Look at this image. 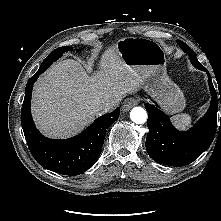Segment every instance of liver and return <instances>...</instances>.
I'll return each instance as SVG.
<instances>
[{
  "label": "liver",
  "mask_w": 221,
  "mask_h": 221,
  "mask_svg": "<svg viewBox=\"0 0 221 221\" xmlns=\"http://www.w3.org/2000/svg\"><path fill=\"white\" fill-rule=\"evenodd\" d=\"M140 88L138 73L124 63L115 45L103 53L92 76L72 59L57 63L42 75L34 86L32 115L46 136L66 138L104 113L99 106L102 100L121 99Z\"/></svg>",
  "instance_id": "obj_1"
}]
</instances>
